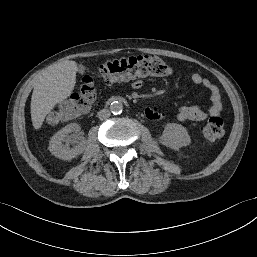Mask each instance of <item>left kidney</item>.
Segmentation results:
<instances>
[{
  "label": "left kidney",
  "mask_w": 257,
  "mask_h": 257,
  "mask_svg": "<svg viewBox=\"0 0 257 257\" xmlns=\"http://www.w3.org/2000/svg\"><path fill=\"white\" fill-rule=\"evenodd\" d=\"M161 143L173 150H178L191 143L190 136L181 124L169 123L165 126L161 136Z\"/></svg>",
  "instance_id": "obj_1"
}]
</instances>
